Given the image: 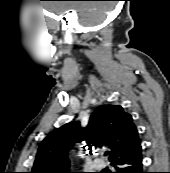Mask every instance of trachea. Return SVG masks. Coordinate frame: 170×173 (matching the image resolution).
<instances>
[{
    "instance_id": "trachea-1",
    "label": "trachea",
    "mask_w": 170,
    "mask_h": 173,
    "mask_svg": "<svg viewBox=\"0 0 170 173\" xmlns=\"http://www.w3.org/2000/svg\"><path fill=\"white\" fill-rule=\"evenodd\" d=\"M108 154H109V152H106V153H105V156H107Z\"/></svg>"
}]
</instances>
